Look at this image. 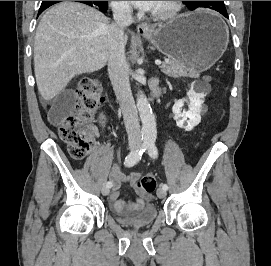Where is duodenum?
Listing matches in <instances>:
<instances>
[{
  "instance_id": "410a0bca",
  "label": "duodenum",
  "mask_w": 271,
  "mask_h": 266,
  "mask_svg": "<svg viewBox=\"0 0 271 266\" xmlns=\"http://www.w3.org/2000/svg\"><path fill=\"white\" fill-rule=\"evenodd\" d=\"M154 94H155V95H158V94H159V91H158V90H155Z\"/></svg>"
}]
</instances>
